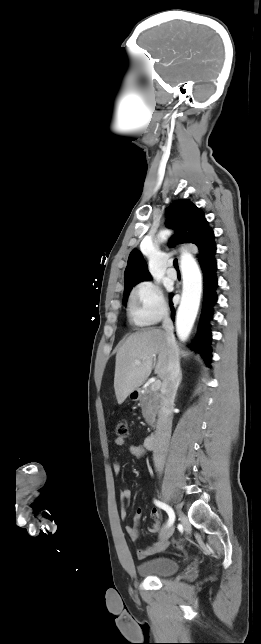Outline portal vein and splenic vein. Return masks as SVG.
Returning <instances> with one entry per match:
<instances>
[{
    "mask_svg": "<svg viewBox=\"0 0 261 644\" xmlns=\"http://www.w3.org/2000/svg\"><path fill=\"white\" fill-rule=\"evenodd\" d=\"M140 363H141V362H140L139 360H136V361H135V364H136V365H139ZM160 386H161V381H160V380H156V381H154V382L151 384L150 389H151L152 391H156V390H158V389L160 388Z\"/></svg>",
    "mask_w": 261,
    "mask_h": 644,
    "instance_id": "1",
    "label": "portal vein and splenic vein"
}]
</instances>
